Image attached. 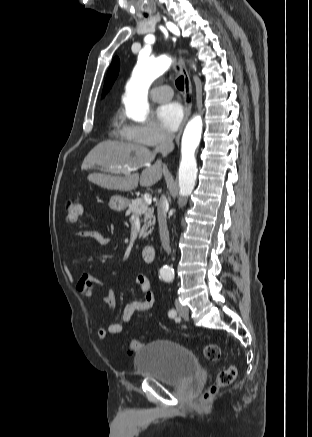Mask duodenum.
Returning a JSON list of instances; mask_svg holds the SVG:
<instances>
[{
	"label": "duodenum",
	"mask_w": 312,
	"mask_h": 437,
	"mask_svg": "<svg viewBox=\"0 0 312 437\" xmlns=\"http://www.w3.org/2000/svg\"><path fill=\"white\" fill-rule=\"evenodd\" d=\"M154 247L152 245H146L141 250V258L144 262L150 263L153 261Z\"/></svg>",
	"instance_id": "1"
}]
</instances>
